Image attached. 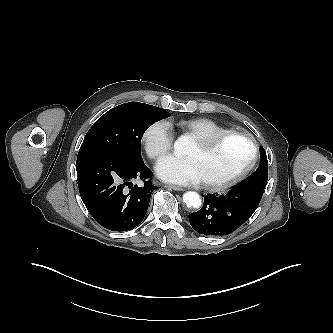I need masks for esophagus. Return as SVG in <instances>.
<instances>
[{
	"instance_id": "esophagus-1",
	"label": "esophagus",
	"mask_w": 333,
	"mask_h": 333,
	"mask_svg": "<svg viewBox=\"0 0 333 333\" xmlns=\"http://www.w3.org/2000/svg\"><path fill=\"white\" fill-rule=\"evenodd\" d=\"M164 186L168 189H172L175 191H184V188L176 186V185L165 184Z\"/></svg>"
}]
</instances>
